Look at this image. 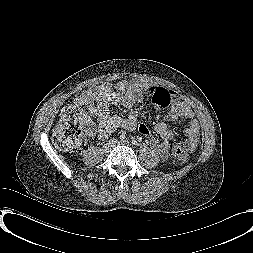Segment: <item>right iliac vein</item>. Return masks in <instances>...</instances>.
<instances>
[{
	"mask_svg": "<svg viewBox=\"0 0 253 253\" xmlns=\"http://www.w3.org/2000/svg\"><path fill=\"white\" fill-rule=\"evenodd\" d=\"M111 147H112L111 144L106 145V146H104L103 151H104L105 153H108V152L111 150Z\"/></svg>",
	"mask_w": 253,
	"mask_h": 253,
	"instance_id": "63e3f726",
	"label": "right iliac vein"
}]
</instances>
